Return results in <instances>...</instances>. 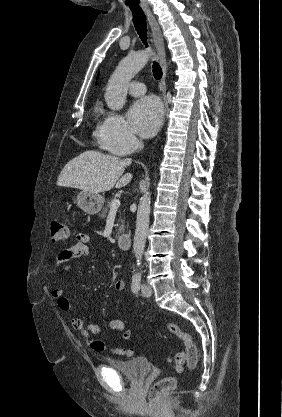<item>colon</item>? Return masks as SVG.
Instances as JSON below:
<instances>
[{"mask_svg": "<svg viewBox=\"0 0 282 417\" xmlns=\"http://www.w3.org/2000/svg\"><path fill=\"white\" fill-rule=\"evenodd\" d=\"M50 238L54 243L65 242L70 238V230L66 223L53 220L50 228ZM164 329L169 332L172 336L180 339L183 345L187 347L190 358L187 361L190 365L188 370H192L196 367L199 358V350L194 343L191 335L180 329L177 324L170 321H166L163 324ZM184 357V350L178 349L177 354L172 360V363L178 372L180 371L182 358ZM177 380L174 377H166L164 379H156L152 389L147 390V397L149 403H166V393H171L172 387L176 386Z\"/></svg>", "mask_w": 282, "mask_h": 417, "instance_id": "1", "label": "colon"}]
</instances>
